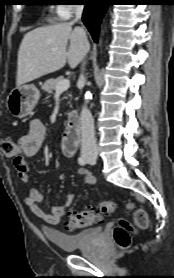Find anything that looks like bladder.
<instances>
[{"label":"bladder","instance_id":"1","mask_svg":"<svg viewBox=\"0 0 174 278\" xmlns=\"http://www.w3.org/2000/svg\"><path fill=\"white\" fill-rule=\"evenodd\" d=\"M102 234L100 227L81 230L75 234H66L59 231H48V239L59 249L72 252L84 248L97 241Z\"/></svg>","mask_w":174,"mask_h":278}]
</instances>
